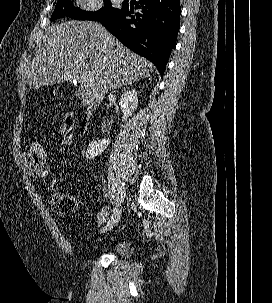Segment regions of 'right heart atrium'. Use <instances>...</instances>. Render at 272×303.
Returning a JSON list of instances; mask_svg holds the SVG:
<instances>
[{"label":"right heart atrium","instance_id":"obj_1","mask_svg":"<svg viewBox=\"0 0 272 303\" xmlns=\"http://www.w3.org/2000/svg\"><path fill=\"white\" fill-rule=\"evenodd\" d=\"M104 0H79L80 6L89 11L98 10L102 7Z\"/></svg>","mask_w":272,"mask_h":303}]
</instances>
